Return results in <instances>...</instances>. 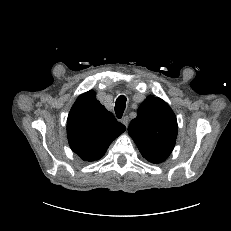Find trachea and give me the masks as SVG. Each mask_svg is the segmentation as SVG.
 <instances>
[{
  "instance_id": "1",
  "label": "trachea",
  "mask_w": 231,
  "mask_h": 231,
  "mask_svg": "<svg viewBox=\"0 0 231 231\" xmlns=\"http://www.w3.org/2000/svg\"><path fill=\"white\" fill-rule=\"evenodd\" d=\"M125 105H126V97L121 95L117 98L116 104H115V113L117 118H121L124 110H125Z\"/></svg>"
}]
</instances>
